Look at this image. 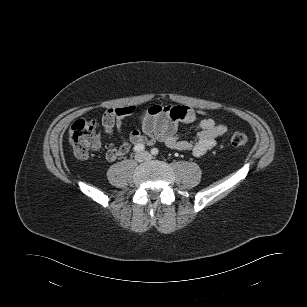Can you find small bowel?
<instances>
[{
  "label": "small bowel",
  "instance_id": "1",
  "mask_svg": "<svg viewBox=\"0 0 307 307\" xmlns=\"http://www.w3.org/2000/svg\"><path fill=\"white\" fill-rule=\"evenodd\" d=\"M136 107L132 105L108 109L102 118L104 131L111 134L120 130L121 119L133 114ZM180 123L192 124L198 131L193 140L178 135ZM227 133V127L217 124L213 119L201 117V113L183 105H153L143 110L139 116V128L130 132L128 140L119 146L109 145L106 150L108 161H114L126 155L131 145L162 142L167 147L180 151H189L195 157H201L217 145V138ZM101 143V135L97 134Z\"/></svg>",
  "mask_w": 307,
  "mask_h": 307
}]
</instances>
